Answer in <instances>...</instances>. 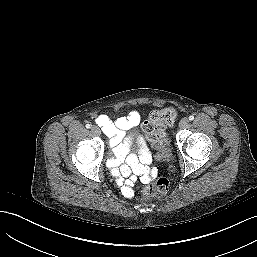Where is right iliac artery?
<instances>
[{"label":"right iliac artery","mask_w":257,"mask_h":257,"mask_svg":"<svg viewBox=\"0 0 257 257\" xmlns=\"http://www.w3.org/2000/svg\"><path fill=\"white\" fill-rule=\"evenodd\" d=\"M86 128H91V125L90 124H86Z\"/></svg>","instance_id":"82829eb1"}]
</instances>
